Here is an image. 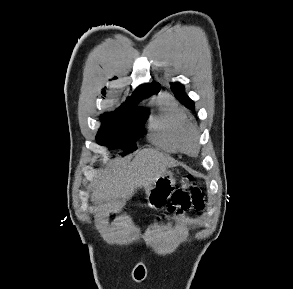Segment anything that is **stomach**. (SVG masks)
Segmentation results:
<instances>
[{
	"instance_id": "obj_1",
	"label": "stomach",
	"mask_w": 293,
	"mask_h": 289,
	"mask_svg": "<svg viewBox=\"0 0 293 289\" xmlns=\"http://www.w3.org/2000/svg\"><path fill=\"white\" fill-rule=\"evenodd\" d=\"M175 188V179L171 172H166L152 186L147 194L148 206L158 208L163 205L173 194Z\"/></svg>"
}]
</instances>
